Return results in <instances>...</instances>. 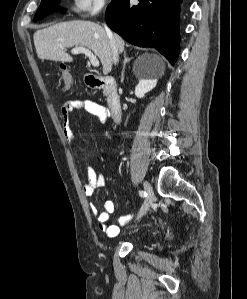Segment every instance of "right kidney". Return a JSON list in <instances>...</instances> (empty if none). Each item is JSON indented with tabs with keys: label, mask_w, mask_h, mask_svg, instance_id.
<instances>
[{
	"label": "right kidney",
	"mask_w": 247,
	"mask_h": 299,
	"mask_svg": "<svg viewBox=\"0 0 247 299\" xmlns=\"http://www.w3.org/2000/svg\"><path fill=\"white\" fill-rule=\"evenodd\" d=\"M157 84L156 79L142 78L139 80L138 85L135 88V95L138 98H143L146 93L151 91Z\"/></svg>",
	"instance_id": "1"
}]
</instances>
